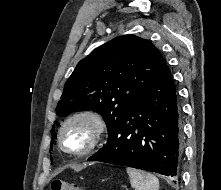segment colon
I'll list each match as a JSON object with an SVG mask.
<instances>
[{"label": "colon", "mask_w": 221, "mask_h": 190, "mask_svg": "<svg viewBox=\"0 0 221 190\" xmlns=\"http://www.w3.org/2000/svg\"><path fill=\"white\" fill-rule=\"evenodd\" d=\"M50 190H83L76 184H70L60 179H55L50 185Z\"/></svg>", "instance_id": "5ec220e1"}]
</instances>
